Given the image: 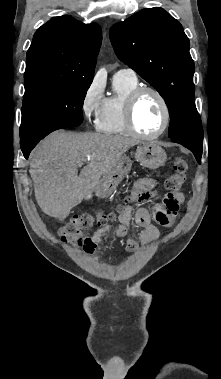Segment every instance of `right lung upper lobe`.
<instances>
[{"instance_id": "1", "label": "right lung upper lobe", "mask_w": 221, "mask_h": 379, "mask_svg": "<svg viewBox=\"0 0 221 379\" xmlns=\"http://www.w3.org/2000/svg\"><path fill=\"white\" fill-rule=\"evenodd\" d=\"M102 42L101 27L70 16L53 17L35 33L26 56L25 93L93 80Z\"/></svg>"}]
</instances>
